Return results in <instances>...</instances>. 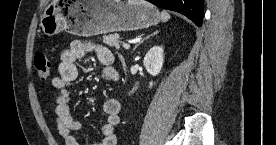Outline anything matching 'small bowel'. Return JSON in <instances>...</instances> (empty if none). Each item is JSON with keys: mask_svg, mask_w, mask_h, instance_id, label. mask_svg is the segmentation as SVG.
Listing matches in <instances>:
<instances>
[{"mask_svg": "<svg viewBox=\"0 0 276 145\" xmlns=\"http://www.w3.org/2000/svg\"><path fill=\"white\" fill-rule=\"evenodd\" d=\"M90 52H94L103 65L102 77L104 80L113 82L118 79V72L112 66L114 55L108 48L97 46L88 41L74 40L70 43L69 48L62 52L58 66L59 75L53 78L52 85L58 91L55 98V120L65 145H79L73 132L80 130L82 123L74 118L70 107L71 86L78 78L79 60ZM103 109L107 121L102 127V139L99 145H116L117 138L114 129L121 121L120 102L116 98H107Z\"/></svg>", "mask_w": 276, "mask_h": 145, "instance_id": "small-bowel-1", "label": "small bowel"}]
</instances>
